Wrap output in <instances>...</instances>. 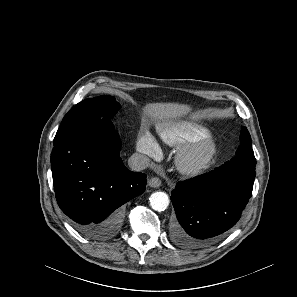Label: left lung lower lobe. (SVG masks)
<instances>
[{
  "instance_id": "obj_1",
  "label": "left lung lower lobe",
  "mask_w": 297,
  "mask_h": 297,
  "mask_svg": "<svg viewBox=\"0 0 297 297\" xmlns=\"http://www.w3.org/2000/svg\"><path fill=\"white\" fill-rule=\"evenodd\" d=\"M255 165L254 155H237L206 174L179 182L171 195L178 220L172 240L185 248H201L225 236L252 196Z\"/></svg>"
}]
</instances>
